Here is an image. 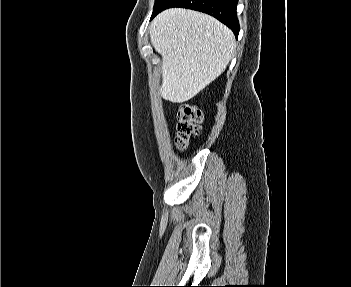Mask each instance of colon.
Here are the masks:
<instances>
[{"instance_id":"colon-1","label":"colon","mask_w":351,"mask_h":287,"mask_svg":"<svg viewBox=\"0 0 351 287\" xmlns=\"http://www.w3.org/2000/svg\"><path fill=\"white\" fill-rule=\"evenodd\" d=\"M202 112L194 105L183 104L178 110L177 147L184 150L201 131Z\"/></svg>"}]
</instances>
